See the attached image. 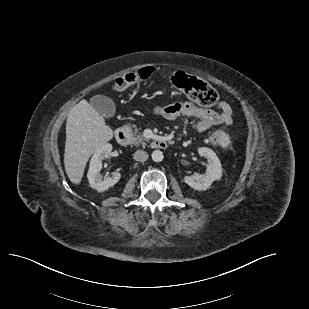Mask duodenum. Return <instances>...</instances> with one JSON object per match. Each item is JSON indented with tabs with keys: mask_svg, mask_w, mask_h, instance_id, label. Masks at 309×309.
<instances>
[{
	"mask_svg": "<svg viewBox=\"0 0 309 309\" xmlns=\"http://www.w3.org/2000/svg\"><path fill=\"white\" fill-rule=\"evenodd\" d=\"M115 138L121 145H128L130 142V134L125 128L116 129ZM150 145L153 149H166L168 147V141L163 137H159L153 139Z\"/></svg>",
	"mask_w": 309,
	"mask_h": 309,
	"instance_id": "obj_1",
	"label": "duodenum"
}]
</instances>
